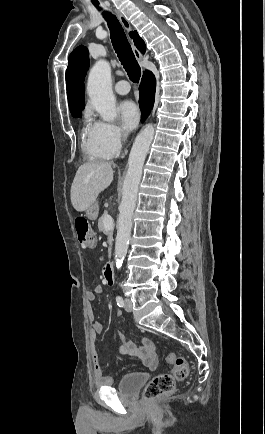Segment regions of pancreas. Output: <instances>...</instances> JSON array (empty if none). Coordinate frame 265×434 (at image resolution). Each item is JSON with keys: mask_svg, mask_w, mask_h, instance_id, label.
Returning a JSON list of instances; mask_svg holds the SVG:
<instances>
[{"mask_svg": "<svg viewBox=\"0 0 265 434\" xmlns=\"http://www.w3.org/2000/svg\"><path fill=\"white\" fill-rule=\"evenodd\" d=\"M104 216H107V212L105 210L102 218H99L98 220V228H99V232H103V234H106V236H108V244H109V254L111 252V248H112V242H113V228L112 230H106L105 226H104Z\"/></svg>", "mask_w": 265, "mask_h": 434, "instance_id": "1", "label": "pancreas"}]
</instances>
